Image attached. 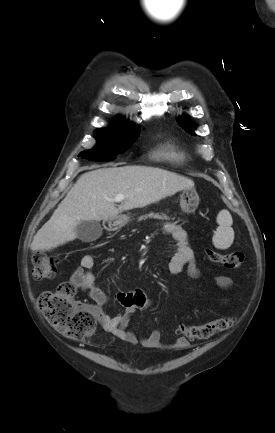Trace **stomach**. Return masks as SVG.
<instances>
[{"mask_svg":"<svg viewBox=\"0 0 275 433\" xmlns=\"http://www.w3.org/2000/svg\"><path fill=\"white\" fill-rule=\"evenodd\" d=\"M199 205V196L194 188L184 189L180 195V207L184 213H194ZM130 218L127 215H120L113 219H108L107 229L116 230L125 226Z\"/></svg>","mask_w":275,"mask_h":433,"instance_id":"obj_1","label":"stomach"}]
</instances>
